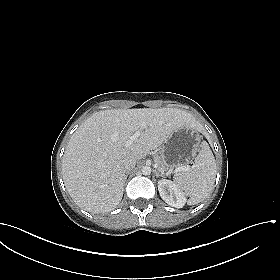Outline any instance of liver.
I'll list each match as a JSON object with an SVG mask.
<instances>
[{
    "instance_id": "liver-1",
    "label": "liver",
    "mask_w": 280,
    "mask_h": 280,
    "mask_svg": "<svg viewBox=\"0 0 280 280\" xmlns=\"http://www.w3.org/2000/svg\"><path fill=\"white\" fill-rule=\"evenodd\" d=\"M184 125L200 129L191 114L176 108L94 113L74 132L63 156V180L69 195L89 212L115 209L123 196V160L128 156L141 160ZM135 132H140V136L126 146Z\"/></svg>"
}]
</instances>
